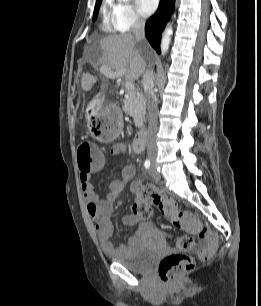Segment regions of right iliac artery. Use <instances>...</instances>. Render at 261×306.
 <instances>
[{
  "label": "right iliac artery",
  "instance_id": "1",
  "mask_svg": "<svg viewBox=\"0 0 261 306\" xmlns=\"http://www.w3.org/2000/svg\"><path fill=\"white\" fill-rule=\"evenodd\" d=\"M150 161L149 160H146L145 162H144V167L146 168V169H148L149 167H150Z\"/></svg>",
  "mask_w": 261,
  "mask_h": 306
}]
</instances>
